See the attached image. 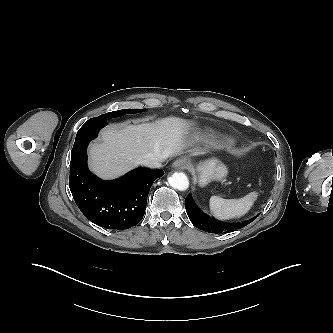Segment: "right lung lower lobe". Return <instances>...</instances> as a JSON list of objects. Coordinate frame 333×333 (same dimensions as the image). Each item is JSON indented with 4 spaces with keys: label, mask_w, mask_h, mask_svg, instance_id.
Wrapping results in <instances>:
<instances>
[{
    "label": "right lung lower lobe",
    "mask_w": 333,
    "mask_h": 333,
    "mask_svg": "<svg viewBox=\"0 0 333 333\" xmlns=\"http://www.w3.org/2000/svg\"><path fill=\"white\" fill-rule=\"evenodd\" d=\"M106 124L107 119L91 118L79 129L71 152L69 187L86 218L107 229L124 230L142 220L148 190L164 172L141 167L112 181L92 174L87 146Z\"/></svg>",
    "instance_id": "1"
}]
</instances>
